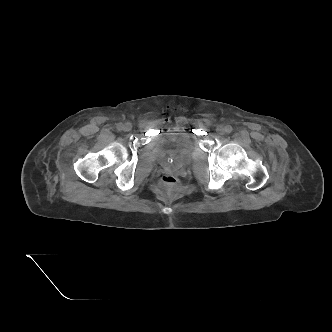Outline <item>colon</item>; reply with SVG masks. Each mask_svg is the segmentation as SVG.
<instances>
[{
    "instance_id": "obj_1",
    "label": "colon",
    "mask_w": 332,
    "mask_h": 332,
    "mask_svg": "<svg viewBox=\"0 0 332 332\" xmlns=\"http://www.w3.org/2000/svg\"><path fill=\"white\" fill-rule=\"evenodd\" d=\"M161 188L167 195H175L181 191L182 183L176 176L165 175L161 179Z\"/></svg>"
}]
</instances>
